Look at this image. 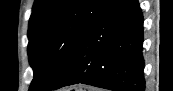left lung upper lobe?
<instances>
[{
	"mask_svg": "<svg viewBox=\"0 0 173 91\" xmlns=\"http://www.w3.org/2000/svg\"><path fill=\"white\" fill-rule=\"evenodd\" d=\"M112 0H35L28 29L29 91L59 83L83 39Z\"/></svg>",
	"mask_w": 173,
	"mask_h": 91,
	"instance_id": "obj_1",
	"label": "left lung upper lobe"
}]
</instances>
